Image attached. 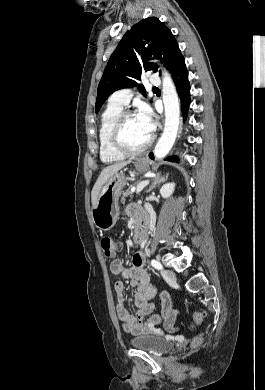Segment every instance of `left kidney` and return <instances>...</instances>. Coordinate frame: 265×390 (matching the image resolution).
<instances>
[{"instance_id":"obj_1","label":"left kidney","mask_w":265,"mask_h":390,"mask_svg":"<svg viewBox=\"0 0 265 390\" xmlns=\"http://www.w3.org/2000/svg\"><path fill=\"white\" fill-rule=\"evenodd\" d=\"M175 183H166L160 189V194L163 198H169L174 192Z\"/></svg>"}]
</instances>
